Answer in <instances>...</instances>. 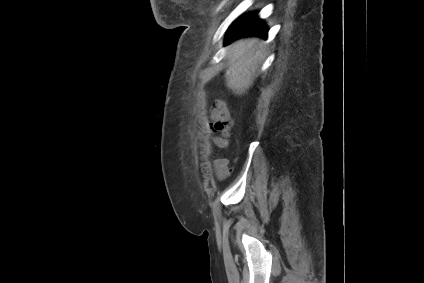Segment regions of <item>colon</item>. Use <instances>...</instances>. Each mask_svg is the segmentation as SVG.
<instances>
[{"mask_svg": "<svg viewBox=\"0 0 424 283\" xmlns=\"http://www.w3.org/2000/svg\"><path fill=\"white\" fill-rule=\"evenodd\" d=\"M213 124L210 128L214 134V142L219 147L227 144V137L231 126V118L227 109L221 104H214L211 108Z\"/></svg>", "mask_w": 424, "mask_h": 283, "instance_id": "colon-1", "label": "colon"}]
</instances>
